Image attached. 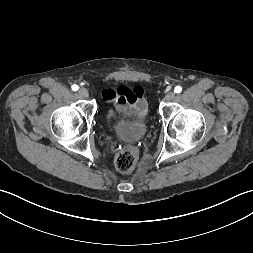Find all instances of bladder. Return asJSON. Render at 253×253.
Segmentation results:
<instances>
[{
  "label": "bladder",
  "instance_id": "31cf9c89",
  "mask_svg": "<svg viewBox=\"0 0 253 253\" xmlns=\"http://www.w3.org/2000/svg\"><path fill=\"white\" fill-rule=\"evenodd\" d=\"M149 128L148 116L133 122H120L117 125L118 135L127 141H137L144 137Z\"/></svg>",
  "mask_w": 253,
  "mask_h": 253
}]
</instances>
